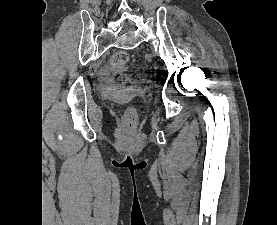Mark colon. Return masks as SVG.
I'll return each instance as SVG.
<instances>
[{"label": "colon", "instance_id": "1", "mask_svg": "<svg viewBox=\"0 0 277 225\" xmlns=\"http://www.w3.org/2000/svg\"><path fill=\"white\" fill-rule=\"evenodd\" d=\"M129 62L130 57L126 52H118L110 58L109 67L112 73L110 80L114 85L126 86L140 80L139 73L127 72ZM123 120L126 129L132 128L136 121V110L133 107L127 108Z\"/></svg>", "mask_w": 277, "mask_h": 225}]
</instances>
